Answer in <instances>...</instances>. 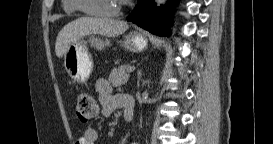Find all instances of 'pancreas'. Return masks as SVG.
<instances>
[{"label": "pancreas", "mask_w": 273, "mask_h": 144, "mask_svg": "<svg viewBox=\"0 0 273 144\" xmlns=\"http://www.w3.org/2000/svg\"><path fill=\"white\" fill-rule=\"evenodd\" d=\"M130 65H121L118 68H114L109 75V82L114 87H120L127 83L129 75L126 73Z\"/></svg>", "instance_id": "pancreas-1"}]
</instances>
